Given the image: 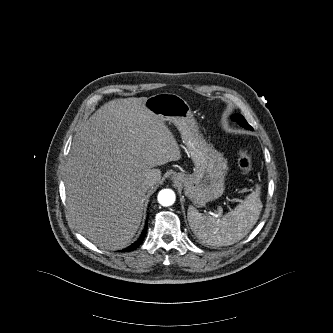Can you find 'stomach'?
Instances as JSON below:
<instances>
[{
	"mask_svg": "<svg viewBox=\"0 0 333 333\" xmlns=\"http://www.w3.org/2000/svg\"><path fill=\"white\" fill-rule=\"evenodd\" d=\"M146 109L179 130L195 169L192 174L177 173L173 179L184 188L185 195L197 207L222 196L227 161L199 130L190 106L179 95L159 93L144 103Z\"/></svg>",
	"mask_w": 333,
	"mask_h": 333,
	"instance_id": "stomach-1",
	"label": "stomach"
}]
</instances>
